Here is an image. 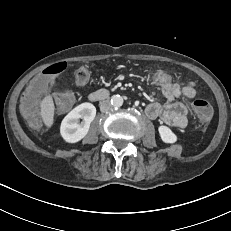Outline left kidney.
Masks as SVG:
<instances>
[{
  "label": "left kidney",
  "mask_w": 231,
  "mask_h": 231,
  "mask_svg": "<svg viewBox=\"0 0 231 231\" xmlns=\"http://www.w3.org/2000/svg\"><path fill=\"white\" fill-rule=\"evenodd\" d=\"M158 131L163 142L172 144L177 141V136L169 127L159 126Z\"/></svg>",
  "instance_id": "5707ae66"
}]
</instances>
